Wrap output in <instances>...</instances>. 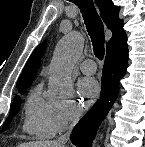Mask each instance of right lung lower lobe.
<instances>
[{
  "mask_svg": "<svg viewBox=\"0 0 145 147\" xmlns=\"http://www.w3.org/2000/svg\"><path fill=\"white\" fill-rule=\"evenodd\" d=\"M128 65V46L126 34L116 39L107 47L101 95L95 105L75 126L71 141L77 147H90L97 128L115 102L119 91V80L126 72Z\"/></svg>",
  "mask_w": 145,
  "mask_h": 147,
  "instance_id": "1",
  "label": "right lung lower lobe"
}]
</instances>
